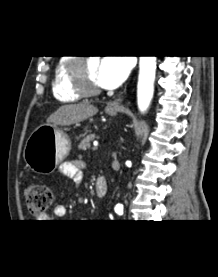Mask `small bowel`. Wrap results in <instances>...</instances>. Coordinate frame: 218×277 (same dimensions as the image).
Wrapping results in <instances>:
<instances>
[{"instance_id": "c3829d8e", "label": "small bowel", "mask_w": 218, "mask_h": 277, "mask_svg": "<svg viewBox=\"0 0 218 277\" xmlns=\"http://www.w3.org/2000/svg\"><path fill=\"white\" fill-rule=\"evenodd\" d=\"M84 164L82 162H66L60 166L59 172L62 176L74 180L76 183L80 184L83 180L82 169ZM66 209L63 205H56L52 212L42 218L46 220L44 222H51V220L61 218L65 216Z\"/></svg>"}]
</instances>
